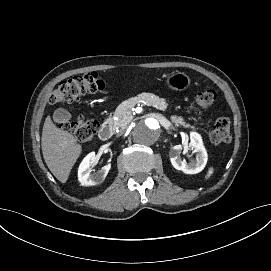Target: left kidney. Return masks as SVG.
I'll return each mask as SVG.
<instances>
[{"label": "left kidney", "mask_w": 271, "mask_h": 271, "mask_svg": "<svg viewBox=\"0 0 271 271\" xmlns=\"http://www.w3.org/2000/svg\"><path fill=\"white\" fill-rule=\"evenodd\" d=\"M190 148H194L196 153V159L189 164L182 160L180 157L182 151V145H175L170 149L169 156L173 167L177 170H181L186 174H195L200 171L207 163V151L203 145L202 137L197 132H190Z\"/></svg>", "instance_id": "obj_1"}]
</instances>
